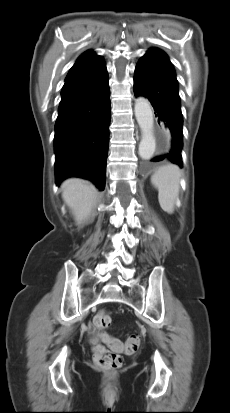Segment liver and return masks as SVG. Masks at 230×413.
Returning a JSON list of instances; mask_svg holds the SVG:
<instances>
[{
  "mask_svg": "<svg viewBox=\"0 0 230 413\" xmlns=\"http://www.w3.org/2000/svg\"><path fill=\"white\" fill-rule=\"evenodd\" d=\"M61 188L62 198L72 210L76 221L86 219L97 203V189L79 178L64 181Z\"/></svg>",
  "mask_w": 230,
  "mask_h": 413,
  "instance_id": "liver-1",
  "label": "liver"
}]
</instances>
